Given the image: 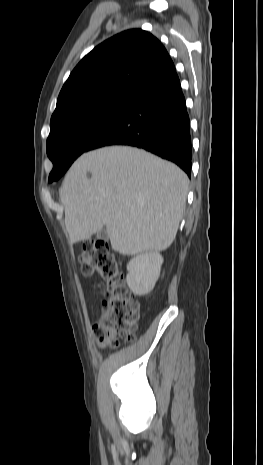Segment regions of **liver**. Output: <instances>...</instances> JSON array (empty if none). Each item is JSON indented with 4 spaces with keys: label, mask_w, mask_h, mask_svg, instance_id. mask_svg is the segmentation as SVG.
Here are the masks:
<instances>
[{
    "label": "liver",
    "mask_w": 263,
    "mask_h": 465,
    "mask_svg": "<svg viewBox=\"0 0 263 465\" xmlns=\"http://www.w3.org/2000/svg\"><path fill=\"white\" fill-rule=\"evenodd\" d=\"M188 185L179 167L141 149L111 146L85 153L60 189L70 241L106 226L112 249L121 254L166 250L176 237Z\"/></svg>",
    "instance_id": "1"
}]
</instances>
